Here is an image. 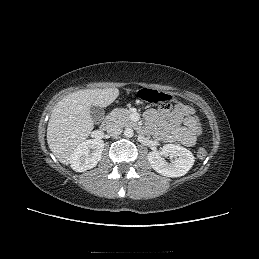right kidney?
Returning <instances> with one entry per match:
<instances>
[{
	"label": "right kidney",
	"instance_id": "ca27d5eb",
	"mask_svg": "<svg viewBox=\"0 0 259 259\" xmlns=\"http://www.w3.org/2000/svg\"><path fill=\"white\" fill-rule=\"evenodd\" d=\"M104 141L90 139L80 143L72 153L71 167L76 172H84L95 167L101 159Z\"/></svg>",
	"mask_w": 259,
	"mask_h": 259
}]
</instances>
